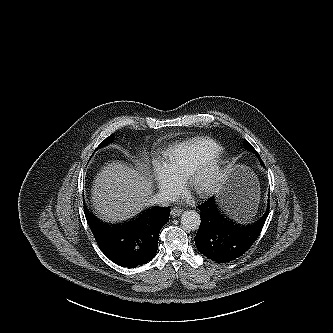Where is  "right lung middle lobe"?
<instances>
[{"mask_svg":"<svg viewBox=\"0 0 333 333\" xmlns=\"http://www.w3.org/2000/svg\"><path fill=\"white\" fill-rule=\"evenodd\" d=\"M112 139H113V135H110L103 142H101V144L97 147V149L108 145L112 141Z\"/></svg>","mask_w":333,"mask_h":333,"instance_id":"dd1d6c3e","label":"right lung middle lobe"}]
</instances>
